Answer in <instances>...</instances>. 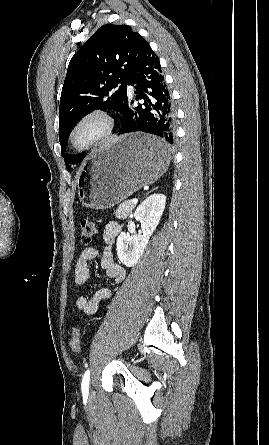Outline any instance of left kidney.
<instances>
[{
	"instance_id": "left-kidney-1",
	"label": "left kidney",
	"mask_w": 269,
	"mask_h": 445,
	"mask_svg": "<svg viewBox=\"0 0 269 445\" xmlns=\"http://www.w3.org/2000/svg\"><path fill=\"white\" fill-rule=\"evenodd\" d=\"M165 205V195L152 194L137 207L134 218L141 223L142 235L130 236L122 232L117 238V255L125 266L132 267L138 262L162 217Z\"/></svg>"
}]
</instances>
